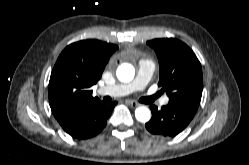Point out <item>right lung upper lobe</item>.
Returning a JSON list of instances; mask_svg holds the SVG:
<instances>
[{"instance_id": "obj_1", "label": "right lung upper lobe", "mask_w": 249, "mask_h": 165, "mask_svg": "<svg viewBox=\"0 0 249 165\" xmlns=\"http://www.w3.org/2000/svg\"><path fill=\"white\" fill-rule=\"evenodd\" d=\"M118 47L99 40H83L67 46L58 57L49 81V104L58 120L99 101L92 85L101 78Z\"/></svg>"}]
</instances>
